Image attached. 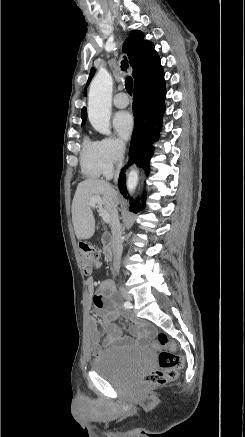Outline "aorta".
Wrapping results in <instances>:
<instances>
[{"label":"aorta","instance_id":"obj_1","mask_svg":"<svg viewBox=\"0 0 245 437\" xmlns=\"http://www.w3.org/2000/svg\"><path fill=\"white\" fill-rule=\"evenodd\" d=\"M113 79L106 70H99L91 82L88 94V118L99 133L110 134L111 97ZM138 183V171L131 170L127 177V188L134 192Z\"/></svg>","mask_w":245,"mask_h":437}]
</instances>
